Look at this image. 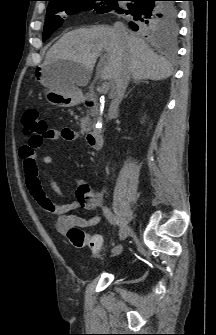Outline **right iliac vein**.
Returning a JSON list of instances; mask_svg holds the SVG:
<instances>
[{
	"mask_svg": "<svg viewBox=\"0 0 216 335\" xmlns=\"http://www.w3.org/2000/svg\"><path fill=\"white\" fill-rule=\"evenodd\" d=\"M130 231V226L127 223H124L119 233L120 241H124L128 237Z\"/></svg>",
	"mask_w": 216,
	"mask_h": 335,
	"instance_id": "right-iliac-vein-1",
	"label": "right iliac vein"
}]
</instances>
